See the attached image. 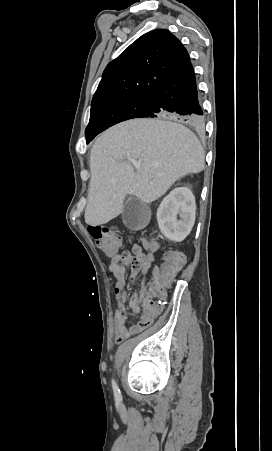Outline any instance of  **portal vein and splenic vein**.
I'll return each instance as SVG.
<instances>
[{
    "mask_svg": "<svg viewBox=\"0 0 272 451\" xmlns=\"http://www.w3.org/2000/svg\"><path fill=\"white\" fill-rule=\"evenodd\" d=\"M127 160H132V158H127Z\"/></svg>",
    "mask_w": 272,
    "mask_h": 451,
    "instance_id": "obj_1",
    "label": "portal vein and splenic vein"
}]
</instances>
